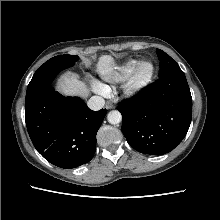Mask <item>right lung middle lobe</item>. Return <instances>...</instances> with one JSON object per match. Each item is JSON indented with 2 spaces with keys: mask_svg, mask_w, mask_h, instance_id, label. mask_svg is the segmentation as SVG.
Wrapping results in <instances>:
<instances>
[{
  "mask_svg": "<svg viewBox=\"0 0 220 220\" xmlns=\"http://www.w3.org/2000/svg\"><path fill=\"white\" fill-rule=\"evenodd\" d=\"M78 59L79 57L76 55H59L45 62L33 75L27 88L26 99L50 86L59 72L73 66Z\"/></svg>",
  "mask_w": 220,
  "mask_h": 220,
  "instance_id": "dd1d6c3e",
  "label": "right lung middle lobe"
}]
</instances>
